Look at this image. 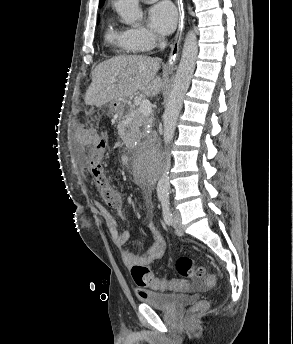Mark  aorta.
Returning <instances> with one entry per match:
<instances>
[{
  "label": "aorta",
  "mask_w": 293,
  "mask_h": 344,
  "mask_svg": "<svg viewBox=\"0 0 293 344\" xmlns=\"http://www.w3.org/2000/svg\"><path fill=\"white\" fill-rule=\"evenodd\" d=\"M115 8L125 24H134L142 18V11L139 9V0H117ZM197 54V36L193 30H190L184 41L175 81L168 98L165 112L162 116L164 126L163 138L166 146V164L157 183V195L159 197H166L169 194L170 183L168 171L171 164L169 145L174 138L177 119L182 108L184 96L193 76Z\"/></svg>",
  "instance_id": "1"
}]
</instances>
